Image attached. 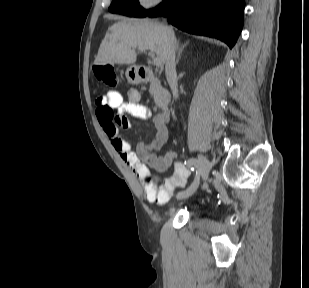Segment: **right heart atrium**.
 Masks as SVG:
<instances>
[{
    "label": "right heart atrium",
    "instance_id": "right-heart-atrium-1",
    "mask_svg": "<svg viewBox=\"0 0 309 288\" xmlns=\"http://www.w3.org/2000/svg\"><path fill=\"white\" fill-rule=\"evenodd\" d=\"M165 0H138V4L145 10H150L161 5Z\"/></svg>",
    "mask_w": 309,
    "mask_h": 288
}]
</instances>
